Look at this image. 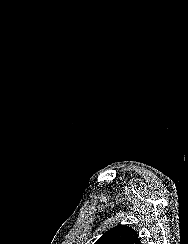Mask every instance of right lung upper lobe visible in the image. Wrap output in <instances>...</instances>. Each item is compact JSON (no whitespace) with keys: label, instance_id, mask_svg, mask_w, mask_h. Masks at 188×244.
<instances>
[{"label":"right lung upper lobe","instance_id":"obj_1","mask_svg":"<svg viewBox=\"0 0 188 244\" xmlns=\"http://www.w3.org/2000/svg\"><path fill=\"white\" fill-rule=\"evenodd\" d=\"M95 244H141V241L132 228L118 225L105 232Z\"/></svg>","mask_w":188,"mask_h":244}]
</instances>
